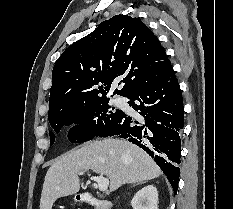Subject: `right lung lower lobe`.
I'll list each match as a JSON object with an SVG mask.
<instances>
[{"mask_svg": "<svg viewBox=\"0 0 233 209\" xmlns=\"http://www.w3.org/2000/svg\"><path fill=\"white\" fill-rule=\"evenodd\" d=\"M127 98L141 117L126 113L98 136L119 135L145 150L159 165L177 193L184 108L180 87L172 66L154 84Z\"/></svg>", "mask_w": 233, "mask_h": 209, "instance_id": "right-lung-lower-lobe-1", "label": "right lung lower lobe"}]
</instances>
